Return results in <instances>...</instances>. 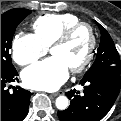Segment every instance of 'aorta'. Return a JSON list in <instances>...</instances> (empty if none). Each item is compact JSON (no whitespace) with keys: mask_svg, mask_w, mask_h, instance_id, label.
<instances>
[{"mask_svg":"<svg viewBox=\"0 0 121 121\" xmlns=\"http://www.w3.org/2000/svg\"><path fill=\"white\" fill-rule=\"evenodd\" d=\"M69 105V100L66 96H59L56 99V107L59 110H65Z\"/></svg>","mask_w":121,"mask_h":121,"instance_id":"obj_1","label":"aorta"}]
</instances>
